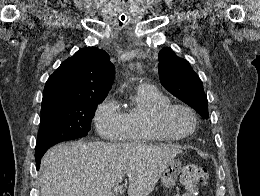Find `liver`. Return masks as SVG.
I'll return each mask as SVG.
<instances>
[{
    "instance_id": "6515ba94",
    "label": "liver",
    "mask_w": 260,
    "mask_h": 196,
    "mask_svg": "<svg viewBox=\"0 0 260 196\" xmlns=\"http://www.w3.org/2000/svg\"><path fill=\"white\" fill-rule=\"evenodd\" d=\"M181 146H141L67 142L44 154L39 172L41 196H114L129 178L128 196H149Z\"/></svg>"
}]
</instances>
